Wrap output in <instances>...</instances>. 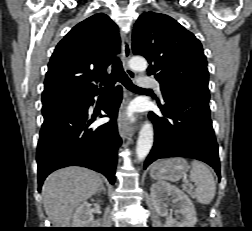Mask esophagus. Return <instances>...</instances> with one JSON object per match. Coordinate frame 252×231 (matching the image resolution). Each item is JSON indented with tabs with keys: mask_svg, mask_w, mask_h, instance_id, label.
Wrapping results in <instances>:
<instances>
[{
	"mask_svg": "<svg viewBox=\"0 0 252 231\" xmlns=\"http://www.w3.org/2000/svg\"><path fill=\"white\" fill-rule=\"evenodd\" d=\"M121 38H122V45H123V66L128 76L134 79L136 77V74L134 71L130 69L129 64H128L129 59L131 57V53H132L131 44L125 33L121 32ZM127 102L128 100L122 106L121 111L119 113V117H118V130H119V134L121 135L123 139H125L127 135L133 133L135 130L134 125H132L129 122V120L127 119L125 115V107H126Z\"/></svg>",
	"mask_w": 252,
	"mask_h": 231,
	"instance_id": "1",
	"label": "esophagus"
}]
</instances>
